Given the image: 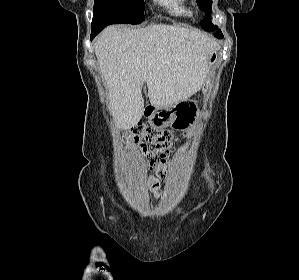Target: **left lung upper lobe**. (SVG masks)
I'll use <instances>...</instances> for the list:
<instances>
[{"instance_id":"left-lung-upper-lobe-1","label":"left lung upper lobe","mask_w":299,"mask_h":280,"mask_svg":"<svg viewBox=\"0 0 299 280\" xmlns=\"http://www.w3.org/2000/svg\"><path fill=\"white\" fill-rule=\"evenodd\" d=\"M198 4L200 5V7L205 11L207 16L211 15V5H212V1L211 0H198ZM200 25L203 29L207 30V31H213L217 28V26L213 25V23L211 22L210 19L208 18H204L201 22ZM214 36L216 37H222V32L218 31L214 34Z\"/></svg>"}]
</instances>
